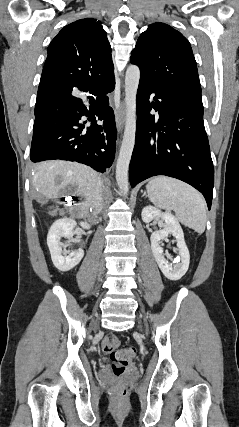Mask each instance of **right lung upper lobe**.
I'll list each match as a JSON object with an SVG mask.
<instances>
[{"label": "right lung upper lobe", "mask_w": 239, "mask_h": 427, "mask_svg": "<svg viewBox=\"0 0 239 427\" xmlns=\"http://www.w3.org/2000/svg\"><path fill=\"white\" fill-rule=\"evenodd\" d=\"M47 51L37 100L67 88L92 87L114 76L111 47L101 22L95 19L65 26Z\"/></svg>", "instance_id": "cb5924a9"}]
</instances>
